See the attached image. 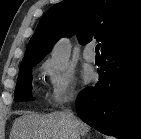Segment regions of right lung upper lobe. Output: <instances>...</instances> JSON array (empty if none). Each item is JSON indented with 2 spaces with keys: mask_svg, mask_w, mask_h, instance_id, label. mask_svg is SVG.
<instances>
[{
  "mask_svg": "<svg viewBox=\"0 0 141 139\" xmlns=\"http://www.w3.org/2000/svg\"><path fill=\"white\" fill-rule=\"evenodd\" d=\"M102 42L101 51L141 34L140 0H64L40 20L20 68L36 65L61 38Z\"/></svg>",
  "mask_w": 141,
  "mask_h": 139,
  "instance_id": "cb5924a9",
  "label": "right lung upper lobe"
}]
</instances>
